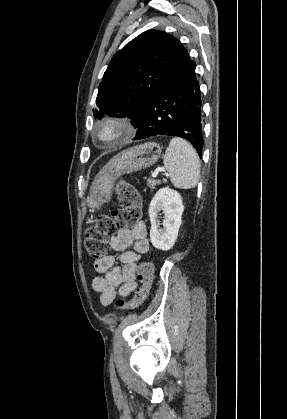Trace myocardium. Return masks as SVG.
I'll use <instances>...</instances> for the list:
<instances>
[{
    "label": "myocardium",
    "mask_w": 287,
    "mask_h": 419,
    "mask_svg": "<svg viewBox=\"0 0 287 419\" xmlns=\"http://www.w3.org/2000/svg\"><path fill=\"white\" fill-rule=\"evenodd\" d=\"M104 131L112 132V136L109 139H104L102 137ZM134 132V127L128 119L107 117L97 124L94 130V137L100 144L112 146L131 138Z\"/></svg>",
    "instance_id": "obj_1"
}]
</instances>
